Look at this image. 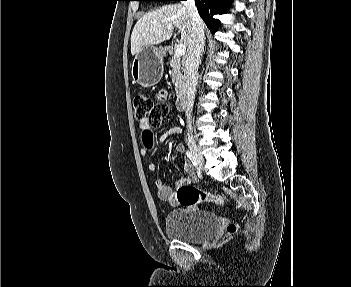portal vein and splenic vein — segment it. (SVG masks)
I'll return each mask as SVG.
<instances>
[{
    "label": "portal vein and splenic vein",
    "mask_w": 351,
    "mask_h": 287,
    "mask_svg": "<svg viewBox=\"0 0 351 287\" xmlns=\"http://www.w3.org/2000/svg\"><path fill=\"white\" fill-rule=\"evenodd\" d=\"M167 29L168 30H172L173 28L171 26H168ZM185 52H186V46L184 44H182V43L178 44L177 48H176L175 55L177 57H181V56H183L185 54Z\"/></svg>",
    "instance_id": "obj_1"
}]
</instances>
